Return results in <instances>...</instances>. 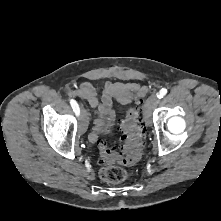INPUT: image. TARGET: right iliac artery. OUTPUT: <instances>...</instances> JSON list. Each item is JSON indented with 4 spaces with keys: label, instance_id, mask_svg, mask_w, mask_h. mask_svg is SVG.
<instances>
[{
    "label": "right iliac artery",
    "instance_id": "1",
    "mask_svg": "<svg viewBox=\"0 0 221 221\" xmlns=\"http://www.w3.org/2000/svg\"><path fill=\"white\" fill-rule=\"evenodd\" d=\"M71 107L73 108V111L76 115H79L80 109L78 103L74 99H70Z\"/></svg>",
    "mask_w": 221,
    "mask_h": 221
}]
</instances>
